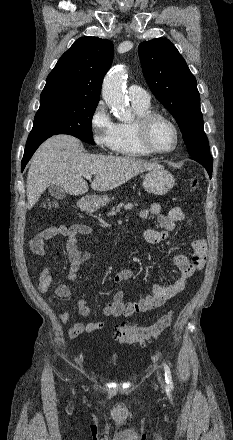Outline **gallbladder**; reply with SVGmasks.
I'll return each mask as SVG.
<instances>
[{"label":"gallbladder","mask_w":233,"mask_h":440,"mask_svg":"<svg viewBox=\"0 0 233 440\" xmlns=\"http://www.w3.org/2000/svg\"><path fill=\"white\" fill-rule=\"evenodd\" d=\"M49 193L55 198V199H63L66 197V192L57 186L51 185L48 188Z\"/></svg>","instance_id":"gallbladder-1"}]
</instances>
